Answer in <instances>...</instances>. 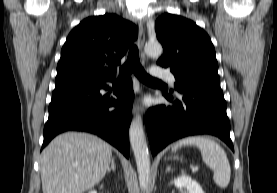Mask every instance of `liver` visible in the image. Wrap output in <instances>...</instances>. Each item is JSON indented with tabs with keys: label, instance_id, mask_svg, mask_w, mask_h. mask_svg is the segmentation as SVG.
Wrapping results in <instances>:
<instances>
[{
	"label": "liver",
	"instance_id": "6515ba94",
	"mask_svg": "<svg viewBox=\"0 0 277 193\" xmlns=\"http://www.w3.org/2000/svg\"><path fill=\"white\" fill-rule=\"evenodd\" d=\"M111 160L112 147L101 138L63 133L41 154L43 193H84L104 178Z\"/></svg>",
	"mask_w": 277,
	"mask_h": 193
}]
</instances>
